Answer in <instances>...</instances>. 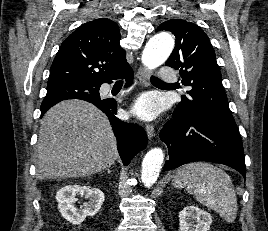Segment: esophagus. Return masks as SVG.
Masks as SVG:
<instances>
[{"label":"esophagus","instance_id":"esophagus-1","mask_svg":"<svg viewBox=\"0 0 268 231\" xmlns=\"http://www.w3.org/2000/svg\"><path fill=\"white\" fill-rule=\"evenodd\" d=\"M137 79H138V84L140 86H147L148 85V79H149V73L148 71L140 67L137 71ZM146 133L149 139H151L154 136V126L150 123L146 124L145 126Z\"/></svg>","mask_w":268,"mask_h":231}]
</instances>
